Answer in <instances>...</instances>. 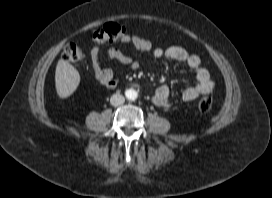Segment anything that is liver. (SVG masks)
I'll return each mask as SVG.
<instances>
[{"label": "liver", "instance_id": "1", "mask_svg": "<svg viewBox=\"0 0 272 198\" xmlns=\"http://www.w3.org/2000/svg\"><path fill=\"white\" fill-rule=\"evenodd\" d=\"M80 83V75L77 69L68 61L60 59L55 71L56 91L60 98L72 95Z\"/></svg>", "mask_w": 272, "mask_h": 198}]
</instances>
